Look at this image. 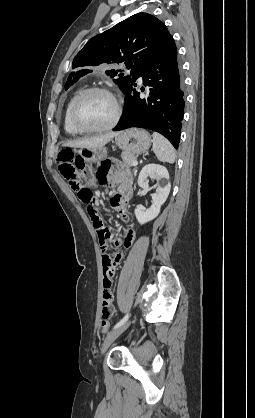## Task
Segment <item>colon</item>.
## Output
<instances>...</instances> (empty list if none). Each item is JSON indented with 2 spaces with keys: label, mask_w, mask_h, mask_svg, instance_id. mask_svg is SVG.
Wrapping results in <instances>:
<instances>
[{
  "label": "colon",
  "mask_w": 255,
  "mask_h": 418,
  "mask_svg": "<svg viewBox=\"0 0 255 418\" xmlns=\"http://www.w3.org/2000/svg\"><path fill=\"white\" fill-rule=\"evenodd\" d=\"M57 164L61 175L69 182L71 188L78 193L80 200L87 205L88 214L96 231L98 227H105L97 214V197L91 189L85 187L82 183V180H93L92 168L82 158L76 157L74 152L68 148L61 149L57 158ZM100 326L102 332L105 333L109 328V323L107 320H102Z\"/></svg>",
  "instance_id": "obj_1"
}]
</instances>
